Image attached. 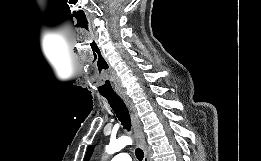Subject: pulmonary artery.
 I'll use <instances>...</instances> for the list:
<instances>
[{"mask_svg": "<svg viewBox=\"0 0 261 161\" xmlns=\"http://www.w3.org/2000/svg\"><path fill=\"white\" fill-rule=\"evenodd\" d=\"M111 161H131V158L127 153L121 152L114 155Z\"/></svg>", "mask_w": 261, "mask_h": 161, "instance_id": "pulmonary-artery-1", "label": "pulmonary artery"}]
</instances>
